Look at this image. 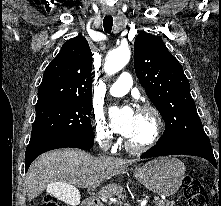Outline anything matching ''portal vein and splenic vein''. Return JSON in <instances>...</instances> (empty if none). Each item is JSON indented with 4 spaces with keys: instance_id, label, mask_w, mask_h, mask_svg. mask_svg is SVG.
<instances>
[{
    "instance_id": "portal-vein-and-splenic-vein-1",
    "label": "portal vein and splenic vein",
    "mask_w": 221,
    "mask_h": 206,
    "mask_svg": "<svg viewBox=\"0 0 221 206\" xmlns=\"http://www.w3.org/2000/svg\"><path fill=\"white\" fill-rule=\"evenodd\" d=\"M95 187H96V186H95ZM93 189H94V187L90 188V190H93ZM52 191H54L55 193H57V192H58L57 186H54L53 189H52ZM99 195H100V197H101L102 199H108V198L111 197V194H110L108 191H106V190L100 191ZM154 199H155L156 201L158 200L157 197H155Z\"/></svg>"
}]
</instances>
